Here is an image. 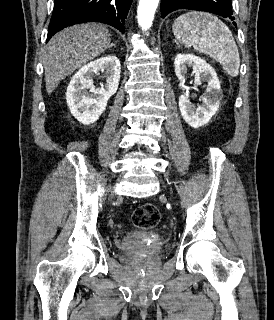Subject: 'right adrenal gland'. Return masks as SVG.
<instances>
[{
  "instance_id": "obj_1",
  "label": "right adrenal gland",
  "mask_w": 274,
  "mask_h": 320,
  "mask_svg": "<svg viewBox=\"0 0 274 320\" xmlns=\"http://www.w3.org/2000/svg\"><path fill=\"white\" fill-rule=\"evenodd\" d=\"M112 46H116V44H111V46H109V48H112Z\"/></svg>"
}]
</instances>
